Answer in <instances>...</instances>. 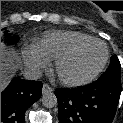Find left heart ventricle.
<instances>
[{
  "mask_svg": "<svg viewBox=\"0 0 123 123\" xmlns=\"http://www.w3.org/2000/svg\"><path fill=\"white\" fill-rule=\"evenodd\" d=\"M103 57L104 48L102 45L88 44L63 65L62 72L68 77H85L100 65Z\"/></svg>",
  "mask_w": 123,
  "mask_h": 123,
  "instance_id": "obj_1",
  "label": "left heart ventricle"
}]
</instances>
